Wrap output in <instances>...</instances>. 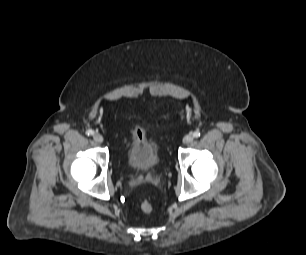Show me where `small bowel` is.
Returning a JSON list of instances; mask_svg holds the SVG:
<instances>
[{"label":"small bowel","mask_w":306,"mask_h":255,"mask_svg":"<svg viewBox=\"0 0 306 255\" xmlns=\"http://www.w3.org/2000/svg\"><path fill=\"white\" fill-rule=\"evenodd\" d=\"M133 137L137 140H142L144 138V133L142 130L140 129H136L134 132H133Z\"/></svg>","instance_id":"obj_1"}]
</instances>
